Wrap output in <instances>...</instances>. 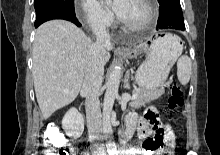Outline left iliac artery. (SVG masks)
<instances>
[{
    "label": "left iliac artery",
    "instance_id": "obj_1",
    "mask_svg": "<svg viewBox=\"0 0 220 155\" xmlns=\"http://www.w3.org/2000/svg\"><path fill=\"white\" fill-rule=\"evenodd\" d=\"M112 155H119V152L116 149H114Z\"/></svg>",
    "mask_w": 220,
    "mask_h": 155
}]
</instances>
